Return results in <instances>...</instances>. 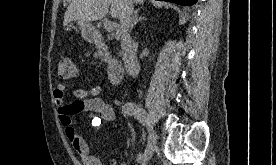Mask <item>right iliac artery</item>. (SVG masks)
I'll use <instances>...</instances> for the list:
<instances>
[{
    "label": "right iliac artery",
    "instance_id": "1",
    "mask_svg": "<svg viewBox=\"0 0 276 165\" xmlns=\"http://www.w3.org/2000/svg\"><path fill=\"white\" fill-rule=\"evenodd\" d=\"M123 112L128 115H134V117L137 118L139 120V122L144 125V123H145L144 116L142 114V109L139 106H137L133 103H126L123 106ZM142 157H143V154L139 153L137 155V161H140L142 159Z\"/></svg>",
    "mask_w": 276,
    "mask_h": 165
}]
</instances>
